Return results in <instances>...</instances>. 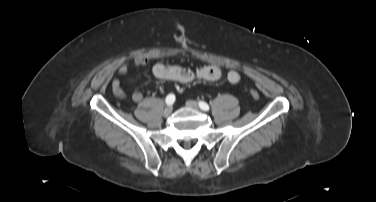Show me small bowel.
<instances>
[{
    "label": "small bowel",
    "instance_id": "1",
    "mask_svg": "<svg viewBox=\"0 0 376 202\" xmlns=\"http://www.w3.org/2000/svg\"><path fill=\"white\" fill-rule=\"evenodd\" d=\"M149 60L142 56H137L133 60L135 67H144L148 65ZM128 64H122L118 73L120 75H125L128 73ZM152 74L155 78L159 80L175 81L180 83H191L195 80H205V81H219L223 77V71L218 64H207L198 68L184 67L173 63L157 62L152 65ZM228 81L234 85L238 86L241 81V76L235 71H230L228 73ZM111 90L114 96L119 99H125L126 93L122 88L121 81L118 78H114L111 82ZM143 99V94L140 91H135L132 94V100L135 102H140Z\"/></svg>",
    "mask_w": 376,
    "mask_h": 202
}]
</instances>
